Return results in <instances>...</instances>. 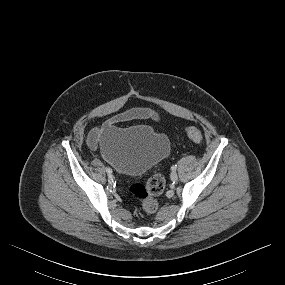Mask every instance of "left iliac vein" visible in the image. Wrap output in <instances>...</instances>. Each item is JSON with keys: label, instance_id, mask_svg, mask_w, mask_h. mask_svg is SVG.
Here are the masks:
<instances>
[{"label": "left iliac vein", "instance_id": "4c4485c4", "mask_svg": "<svg viewBox=\"0 0 285 285\" xmlns=\"http://www.w3.org/2000/svg\"><path fill=\"white\" fill-rule=\"evenodd\" d=\"M170 178L172 181H177L178 180V175L176 172H172L171 175H170Z\"/></svg>", "mask_w": 285, "mask_h": 285}]
</instances>
